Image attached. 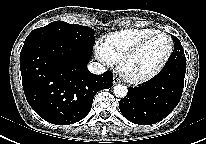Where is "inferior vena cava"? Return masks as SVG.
I'll list each match as a JSON object with an SVG mask.
<instances>
[{"instance_id":"1","label":"inferior vena cava","mask_w":206,"mask_h":144,"mask_svg":"<svg viewBox=\"0 0 206 144\" xmlns=\"http://www.w3.org/2000/svg\"><path fill=\"white\" fill-rule=\"evenodd\" d=\"M88 70L93 73V74H96V75H101L103 74L106 69L103 65H101L100 63L98 62H92L88 65Z\"/></svg>"}]
</instances>
